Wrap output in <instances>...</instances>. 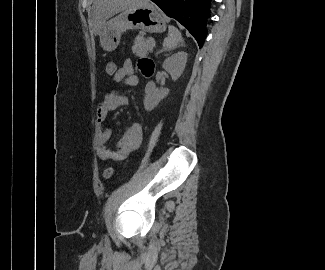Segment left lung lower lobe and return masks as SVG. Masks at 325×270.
Wrapping results in <instances>:
<instances>
[{
  "label": "left lung lower lobe",
  "instance_id": "left-lung-lower-lobe-1",
  "mask_svg": "<svg viewBox=\"0 0 325 270\" xmlns=\"http://www.w3.org/2000/svg\"><path fill=\"white\" fill-rule=\"evenodd\" d=\"M163 12L180 22L194 36L199 47L207 35L206 21L209 17L210 0H151Z\"/></svg>",
  "mask_w": 325,
  "mask_h": 270
}]
</instances>
